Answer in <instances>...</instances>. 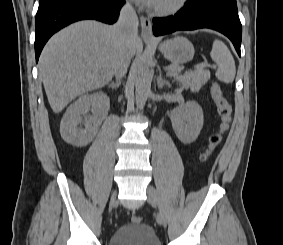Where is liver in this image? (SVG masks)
<instances>
[{
  "instance_id": "obj_1",
  "label": "liver",
  "mask_w": 283,
  "mask_h": 245,
  "mask_svg": "<svg viewBox=\"0 0 283 245\" xmlns=\"http://www.w3.org/2000/svg\"><path fill=\"white\" fill-rule=\"evenodd\" d=\"M135 35L131 57L139 46ZM122 47L114 26L86 20L56 33L39 59V73L52 110L61 112L76 97L108 84Z\"/></svg>"
}]
</instances>
